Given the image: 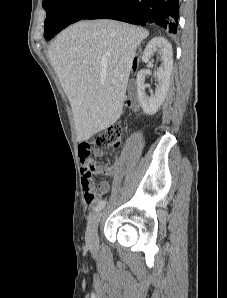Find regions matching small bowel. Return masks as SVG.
<instances>
[{
    "label": "small bowel",
    "mask_w": 227,
    "mask_h": 298,
    "mask_svg": "<svg viewBox=\"0 0 227 298\" xmlns=\"http://www.w3.org/2000/svg\"><path fill=\"white\" fill-rule=\"evenodd\" d=\"M79 147V158L81 160L83 169H82V186L84 191L86 188H90L96 191L95 186L92 181V173L102 174L105 176H112L118 168V163L113 166H105L101 164L93 163L92 159L93 154L95 156H103L104 151L100 149V146H89V142H78ZM109 184L106 181L101 182L98 185L99 195L107 194L109 191Z\"/></svg>",
    "instance_id": "small-bowel-1"
}]
</instances>
